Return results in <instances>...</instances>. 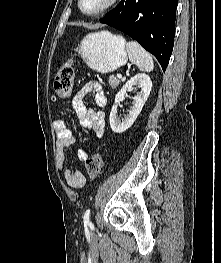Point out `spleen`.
<instances>
[{"instance_id":"spleen-1","label":"spleen","mask_w":221,"mask_h":263,"mask_svg":"<svg viewBox=\"0 0 221 263\" xmlns=\"http://www.w3.org/2000/svg\"><path fill=\"white\" fill-rule=\"evenodd\" d=\"M126 50L131 63L135 64L138 69L150 72L154 68L152 56L136 41H129Z\"/></svg>"}]
</instances>
